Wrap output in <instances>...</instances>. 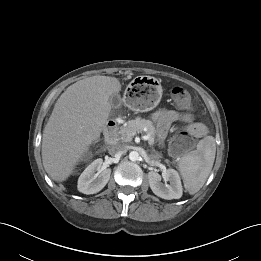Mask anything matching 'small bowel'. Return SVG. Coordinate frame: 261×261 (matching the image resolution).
<instances>
[{"label": "small bowel", "mask_w": 261, "mask_h": 261, "mask_svg": "<svg viewBox=\"0 0 261 261\" xmlns=\"http://www.w3.org/2000/svg\"><path fill=\"white\" fill-rule=\"evenodd\" d=\"M154 119L157 123L158 138L164 141L171 125L174 122L185 123L192 133L197 137H202L206 134V127L198 122H195L190 114L178 112L171 109H160L155 112Z\"/></svg>", "instance_id": "small-bowel-1"}]
</instances>
